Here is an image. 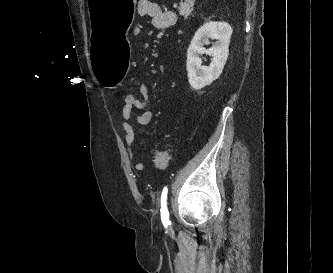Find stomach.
<instances>
[{
    "mask_svg": "<svg viewBox=\"0 0 333 273\" xmlns=\"http://www.w3.org/2000/svg\"><path fill=\"white\" fill-rule=\"evenodd\" d=\"M136 0H87L91 31L88 51L92 58L93 75L103 87L125 81L131 60L126 32L135 19Z\"/></svg>",
    "mask_w": 333,
    "mask_h": 273,
    "instance_id": "1",
    "label": "stomach"
}]
</instances>
